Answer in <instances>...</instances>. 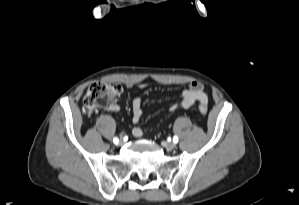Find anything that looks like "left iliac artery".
<instances>
[{
	"mask_svg": "<svg viewBox=\"0 0 299 205\" xmlns=\"http://www.w3.org/2000/svg\"><path fill=\"white\" fill-rule=\"evenodd\" d=\"M173 142H174V143H177V142H178V137H177V136H174V137H173Z\"/></svg>",
	"mask_w": 299,
	"mask_h": 205,
	"instance_id": "1",
	"label": "left iliac artery"
}]
</instances>
